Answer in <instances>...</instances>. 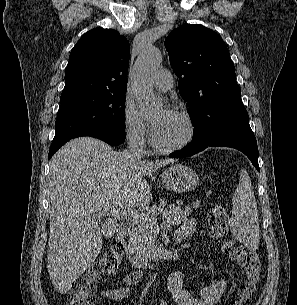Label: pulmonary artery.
I'll use <instances>...</instances> for the list:
<instances>
[{"label":"pulmonary artery","instance_id":"obj_1","mask_svg":"<svg viewBox=\"0 0 297 305\" xmlns=\"http://www.w3.org/2000/svg\"><path fill=\"white\" fill-rule=\"evenodd\" d=\"M153 84L160 91H169L174 84L173 75L166 69H160L154 76Z\"/></svg>","mask_w":297,"mask_h":305}]
</instances>
